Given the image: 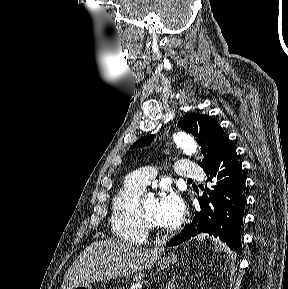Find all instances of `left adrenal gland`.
<instances>
[{"mask_svg":"<svg viewBox=\"0 0 288 289\" xmlns=\"http://www.w3.org/2000/svg\"><path fill=\"white\" fill-rule=\"evenodd\" d=\"M175 275L171 277V280L168 281L167 285H166V289H174L175 288Z\"/></svg>","mask_w":288,"mask_h":289,"instance_id":"1","label":"left adrenal gland"}]
</instances>
